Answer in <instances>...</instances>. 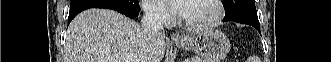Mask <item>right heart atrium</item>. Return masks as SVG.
<instances>
[{
  "label": "right heart atrium",
  "instance_id": "1",
  "mask_svg": "<svg viewBox=\"0 0 331 62\" xmlns=\"http://www.w3.org/2000/svg\"><path fill=\"white\" fill-rule=\"evenodd\" d=\"M142 7L147 16L155 21L167 22L171 18L167 8L157 1L144 0Z\"/></svg>",
  "mask_w": 331,
  "mask_h": 62
}]
</instances>
